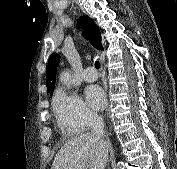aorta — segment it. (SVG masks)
I'll list each match as a JSON object with an SVG mask.
<instances>
[{
	"instance_id": "aorta-1",
	"label": "aorta",
	"mask_w": 177,
	"mask_h": 169,
	"mask_svg": "<svg viewBox=\"0 0 177 169\" xmlns=\"http://www.w3.org/2000/svg\"><path fill=\"white\" fill-rule=\"evenodd\" d=\"M60 82L65 85L68 89L70 88V74L68 71H64L60 75Z\"/></svg>"
}]
</instances>
